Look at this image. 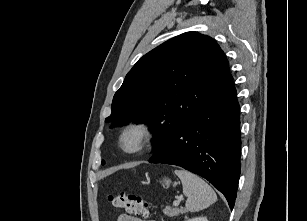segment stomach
Masks as SVG:
<instances>
[{"label": "stomach", "mask_w": 307, "mask_h": 221, "mask_svg": "<svg viewBox=\"0 0 307 221\" xmlns=\"http://www.w3.org/2000/svg\"><path fill=\"white\" fill-rule=\"evenodd\" d=\"M160 183H162V185L165 187H169L170 186V184H171V180L169 179V178H167V177H164L161 181H160Z\"/></svg>", "instance_id": "1"}]
</instances>
